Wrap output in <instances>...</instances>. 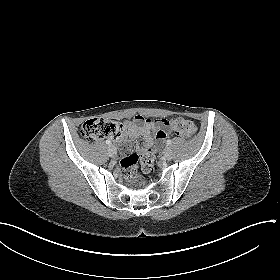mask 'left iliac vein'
I'll use <instances>...</instances> for the list:
<instances>
[{"label": "left iliac vein", "mask_w": 280, "mask_h": 280, "mask_svg": "<svg viewBox=\"0 0 280 280\" xmlns=\"http://www.w3.org/2000/svg\"><path fill=\"white\" fill-rule=\"evenodd\" d=\"M163 157L165 160L169 161L172 159V150L170 147H166L164 150H163Z\"/></svg>", "instance_id": "4c4485c4"}]
</instances>
